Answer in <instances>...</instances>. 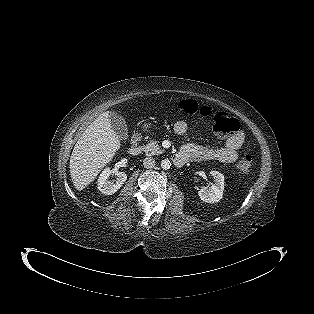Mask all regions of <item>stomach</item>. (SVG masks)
Returning <instances> with one entry per match:
<instances>
[{"instance_id": "stomach-1", "label": "stomach", "mask_w": 314, "mask_h": 314, "mask_svg": "<svg viewBox=\"0 0 314 314\" xmlns=\"http://www.w3.org/2000/svg\"><path fill=\"white\" fill-rule=\"evenodd\" d=\"M152 128H153V124L151 122H144L142 124L143 131H149Z\"/></svg>"}]
</instances>
